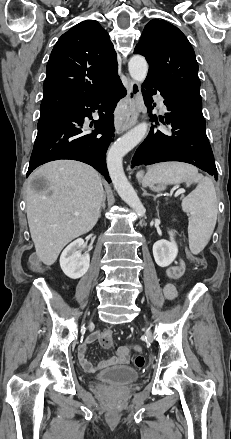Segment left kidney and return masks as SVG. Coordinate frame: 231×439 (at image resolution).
Segmentation results:
<instances>
[{
    "label": "left kidney",
    "instance_id": "obj_1",
    "mask_svg": "<svg viewBox=\"0 0 231 439\" xmlns=\"http://www.w3.org/2000/svg\"><path fill=\"white\" fill-rule=\"evenodd\" d=\"M170 240H159L153 245V256L160 267L169 266L177 257L178 247L174 240L175 231H169Z\"/></svg>",
    "mask_w": 231,
    "mask_h": 439
}]
</instances>
